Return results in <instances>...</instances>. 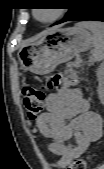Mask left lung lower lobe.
I'll return each mask as SVG.
<instances>
[{
	"mask_svg": "<svg viewBox=\"0 0 104 169\" xmlns=\"http://www.w3.org/2000/svg\"><path fill=\"white\" fill-rule=\"evenodd\" d=\"M102 21L104 22V3L99 0H79L76 10L65 19L58 23L66 21Z\"/></svg>",
	"mask_w": 104,
	"mask_h": 169,
	"instance_id": "1",
	"label": "left lung lower lobe"
}]
</instances>
